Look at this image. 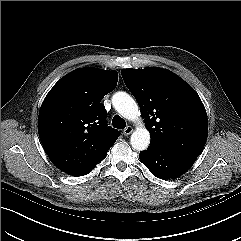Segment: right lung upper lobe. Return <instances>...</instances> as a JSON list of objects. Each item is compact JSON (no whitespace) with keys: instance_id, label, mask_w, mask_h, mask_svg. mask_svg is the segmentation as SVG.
I'll use <instances>...</instances> for the list:
<instances>
[{"instance_id":"1","label":"right lung upper lobe","mask_w":241,"mask_h":241,"mask_svg":"<svg viewBox=\"0 0 241 241\" xmlns=\"http://www.w3.org/2000/svg\"><path fill=\"white\" fill-rule=\"evenodd\" d=\"M118 73L79 68L60 79L45 97L38 133L51 161L65 173L107 154L119 132L107 126L103 97L117 85Z\"/></svg>"}]
</instances>
